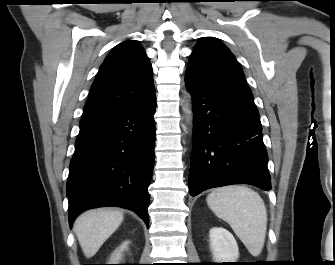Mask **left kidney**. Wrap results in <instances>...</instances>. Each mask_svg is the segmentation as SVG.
Listing matches in <instances>:
<instances>
[{
    "label": "left kidney",
    "instance_id": "obj_1",
    "mask_svg": "<svg viewBox=\"0 0 335 265\" xmlns=\"http://www.w3.org/2000/svg\"><path fill=\"white\" fill-rule=\"evenodd\" d=\"M210 248L216 262H235L239 249L234 236L222 227H213L209 231Z\"/></svg>",
    "mask_w": 335,
    "mask_h": 265
}]
</instances>
